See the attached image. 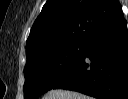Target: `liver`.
<instances>
[{"label": "liver", "mask_w": 128, "mask_h": 99, "mask_svg": "<svg viewBox=\"0 0 128 99\" xmlns=\"http://www.w3.org/2000/svg\"><path fill=\"white\" fill-rule=\"evenodd\" d=\"M42 99H92L89 96L67 90H51Z\"/></svg>", "instance_id": "6515ba94"}]
</instances>
